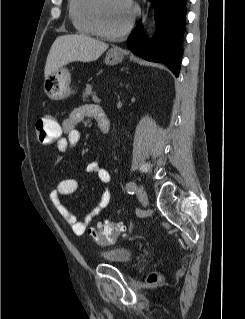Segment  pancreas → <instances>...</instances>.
I'll list each match as a JSON object with an SVG mask.
<instances>
[{
  "label": "pancreas",
  "mask_w": 245,
  "mask_h": 319,
  "mask_svg": "<svg viewBox=\"0 0 245 319\" xmlns=\"http://www.w3.org/2000/svg\"><path fill=\"white\" fill-rule=\"evenodd\" d=\"M90 95H93L92 85L86 84V87H85V89H84V91H83L82 97H83L84 100H86V99H88V97H89Z\"/></svg>",
  "instance_id": "cf45deb5"
}]
</instances>
